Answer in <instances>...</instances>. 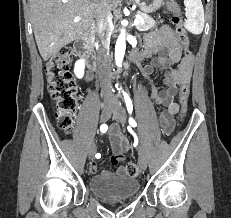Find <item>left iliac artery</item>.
I'll return each instance as SVG.
<instances>
[{
    "label": "left iliac artery",
    "instance_id": "obj_1",
    "mask_svg": "<svg viewBox=\"0 0 231 218\" xmlns=\"http://www.w3.org/2000/svg\"><path fill=\"white\" fill-rule=\"evenodd\" d=\"M123 95H124V98H125L127 110H128V112H129V114H131V113H132V110H133L132 101H131V99H130V97L128 96L127 93L124 92ZM129 124H130L131 126H133V127H136V126H137L136 121H135L132 117L129 118Z\"/></svg>",
    "mask_w": 231,
    "mask_h": 218
}]
</instances>
